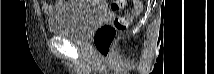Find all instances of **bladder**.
Listing matches in <instances>:
<instances>
[{"instance_id":"bladder-1","label":"bladder","mask_w":214,"mask_h":74,"mask_svg":"<svg viewBox=\"0 0 214 74\" xmlns=\"http://www.w3.org/2000/svg\"><path fill=\"white\" fill-rule=\"evenodd\" d=\"M71 5L59 9L49 20L50 32L72 41H83L87 32L103 14V10L93 6L92 1H70Z\"/></svg>"}]
</instances>
